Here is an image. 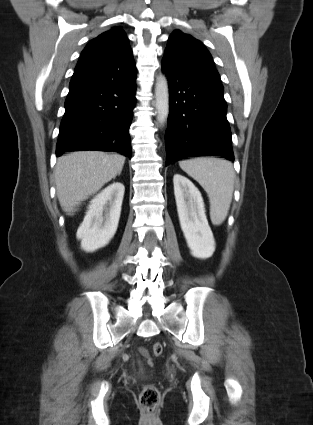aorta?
<instances>
[{"label":"aorta","instance_id":"762f6f07","mask_svg":"<svg viewBox=\"0 0 313 425\" xmlns=\"http://www.w3.org/2000/svg\"><path fill=\"white\" fill-rule=\"evenodd\" d=\"M155 101L157 121L164 124L169 114V87L165 75L160 74L155 84Z\"/></svg>","mask_w":313,"mask_h":425}]
</instances>
